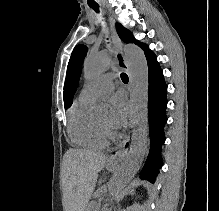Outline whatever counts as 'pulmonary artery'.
Returning a JSON list of instances; mask_svg holds the SVG:
<instances>
[{
  "label": "pulmonary artery",
  "mask_w": 219,
  "mask_h": 211,
  "mask_svg": "<svg viewBox=\"0 0 219 211\" xmlns=\"http://www.w3.org/2000/svg\"><path fill=\"white\" fill-rule=\"evenodd\" d=\"M113 73L99 75L93 82L86 85L80 92L79 98L85 101L93 102L100 95L108 93L114 89Z\"/></svg>",
  "instance_id": "pulmonary-artery-1"
}]
</instances>
